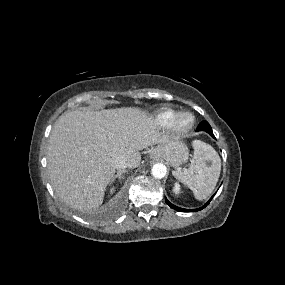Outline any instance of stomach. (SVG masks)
Here are the masks:
<instances>
[{
    "label": "stomach",
    "instance_id": "1",
    "mask_svg": "<svg viewBox=\"0 0 285 285\" xmlns=\"http://www.w3.org/2000/svg\"><path fill=\"white\" fill-rule=\"evenodd\" d=\"M150 155L152 158L166 160L172 167H178L188 160L189 151L182 141L172 140L153 148Z\"/></svg>",
    "mask_w": 285,
    "mask_h": 285
}]
</instances>
